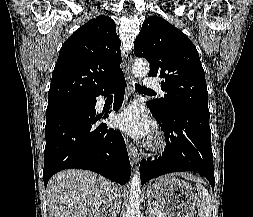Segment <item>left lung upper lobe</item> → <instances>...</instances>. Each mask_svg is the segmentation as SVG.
Returning <instances> with one entry per match:
<instances>
[{"label":"left lung upper lobe","instance_id":"left-lung-upper-lobe-1","mask_svg":"<svg viewBox=\"0 0 253 217\" xmlns=\"http://www.w3.org/2000/svg\"><path fill=\"white\" fill-rule=\"evenodd\" d=\"M137 57L151 65L148 76L162 79L164 98L151 106L159 115L173 108H188L209 113L205 73L199 54L190 39L161 17L147 18L134 43Z\"/></svg>","mask_w":253,"mask_h":217}]
</instances>
